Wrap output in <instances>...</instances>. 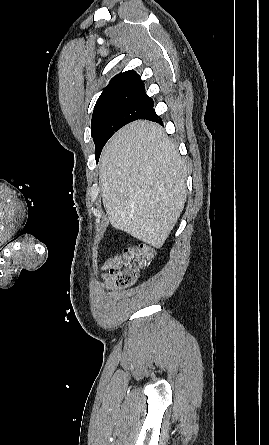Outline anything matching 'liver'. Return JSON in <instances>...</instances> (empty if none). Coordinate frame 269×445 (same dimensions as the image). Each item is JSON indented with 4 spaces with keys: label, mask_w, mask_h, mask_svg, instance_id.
Segmentation results:
<instances>
[{
    "label": "liver",
    "mask_w": 269,
    "mask_h": 445,
    "mask_svg": "<svg viewBox=\"0 0 269 445\" xmlns=\"http://www.w3.org/2000/svg\"><path fill=\"white\" fill-rule=\"evenodd\" d=\"M187 168L161 126L138 120L120 129L100 158L102 201L111 225L161 248L187 198Z\"/></svg>",
    "instance_id": "obj_1"
}]
</instances>
